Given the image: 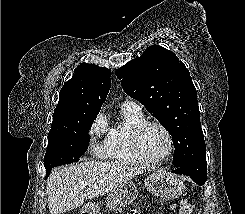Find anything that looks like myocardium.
I'll use <instances>...</instances> for the list:
<instances>
[{"label":"myocardium","instance_id":"myocardium-1","mask_svg":"<svg viewBox=\"0 0 245 214\" xmlns=\"http://www.w3.org/2000/svg\"><path fill=\"white\" fill-rule=\"evenodd\" d=\"M150 126H154L159 128L161 131H163V133L166 135L167 137V141H168V147L166 152L159 158L157 159H149L147 158L141 149V144H140V139L142 136V133L145 131V129H147ZM129 142H130V147H131V151L133 153V155L136 157V159L148 166H154V165H158L162 162H164L166 159H168L173 150H174V139L173 136L171 134V132L169 131V129L163 125L160 122L157 121H151V120H144L136 125H134L129 133Z\"/></svg>","mask_w":245,"mask_h":214}]
</instances>
